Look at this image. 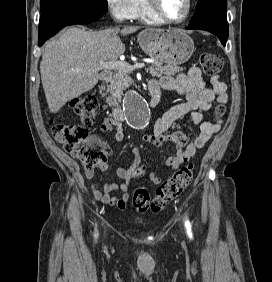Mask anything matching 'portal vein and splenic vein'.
<instances>
[{
	"mask_svg": "<svg viewBox=\"0 0 272 282\" xmlns=\"http://www.w3.org/2000/svg\"><path fill=\"white\" fill-rule=\"evenodd\" d=\"M146 66L145 63H136L134 65H130L126 62L121 61H108V62H100L97 69H112V70H125V71H133L134 69H141Z\"/></svg>",
	"mask_w": 272,
	"mask_h": 282,
	"instance_id": "portal-vein-and-splenic-vein-1",
	"label": "portal vein and splenic vein"
}]
</instances>
